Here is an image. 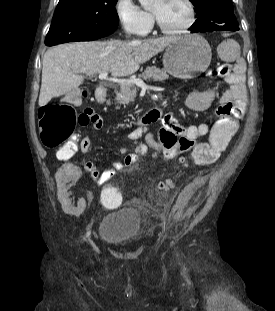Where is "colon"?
I'll use <instances>...</instances> for the list:
<instances>
[{"label":"colon","mask_w":275,"mask_h":311,"mask_svg":"<svg viewBox=\"0 0 275 311\" xmlns=\"http://www.w3.org/2000/svg\"><path fill=\"white\" fill-rule=\"evenodd\" d=\"M216 73L219 76L228 77L231 67L227 63H222L218 66ZM73 96L75 100L80 98L78 91L74 92ZM38 116L42 143L48 148H57L59 158L68 159L77 151L76 141L72 139L77 126L88 125L94 114L89 109L78 111L71 104H51L41 108ZM239 129L238 118H217L209 143L192 142V146L195 147L196 163L200 166L215 164ZM165 187H168V184ZM99 189L102 202H105L107 206H116L119 203V192L116 186H112L111 183H100Z\"/></svg>","instance_id":"obj_1"}]
</instances>
